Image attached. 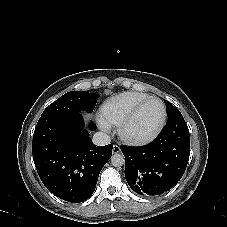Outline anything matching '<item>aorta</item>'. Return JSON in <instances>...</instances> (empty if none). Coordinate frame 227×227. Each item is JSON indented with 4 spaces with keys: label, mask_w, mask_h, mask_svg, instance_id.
<instances>
[{
    "label": "aorta",
    "mask_w": 227,
    "mask_h": 227,
    "mask_svg": "<svg viewBox=\"0 0 227 227\" xmlns=\"http://www.w3.org/2000/svg\"><path fill=\"white\" fill-rule=\"evenodd\" d=\"M125 163V157L123 154L121 153H116L114 155H112L111 157V164L114 166V167H121L123 166Z\"/></svg>",
    "instance_id": "aorta-1"
}]
</instances>
